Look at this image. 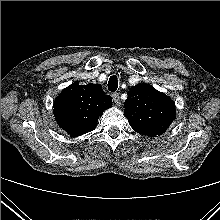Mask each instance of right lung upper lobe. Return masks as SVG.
Instances as JSON below:
<instances>
[{
  "label": "right lung upper lobe",
  "mask_w": 220,
  "mask_h": 220,
  "mask_svg": "<svg viewBox=\"0 0 220 220\" xmlns=\"http://www.w3.org/2000/svg\"><path fill=\"white\" fill-rule=\"evenodd\" d=\"M111 103V96L105 95L101 85L74 82L56 98L53 113L58 125L77 137L94 130L99 116Z\"/></svg>",
  "instance_id": "1"
}]
</instances>
